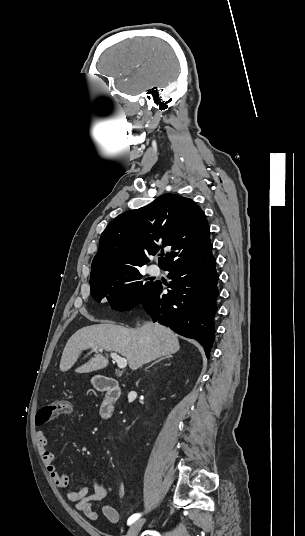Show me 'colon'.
<instances>
[{
	"instance_id": "5ec220e1",
	"label": "colon",
	"mask_w": 305,
	"mask_h": 536,
	"mask_svg": "<svg viewBox=\"0 0 305 536\" xmlns=\"http://www.w3.org/2000/svg\"><path fill=\"white\" fill-rule=\"evenodd\" d=\"M71 411V403L69 401L59 399L50 405H47L42 411H38L34 423L38 427L44 426L47 422H53L54 416L69 414Z\"/></svg>"
}]
</instances>
